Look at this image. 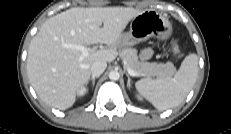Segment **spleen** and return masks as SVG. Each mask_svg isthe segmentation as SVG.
<instances>
[{
	"instance_id": "obj_1",
	"label": "spleen",
	"mask_w": 231,
	"mask_h": 134,
	"mask_svg": "<svg viewBox=\"0 0 231 134\" xmlns=\"http://www.w3.org/2000/svg\"><path fill=\"white\" fill-rule=\"evenodd\" d=\"M198 76V56L194 53L185 57L173 77L144 78L136 82L139 93L160 110L180 105L193 88Z\"/></svg>"
}]
</instances>
